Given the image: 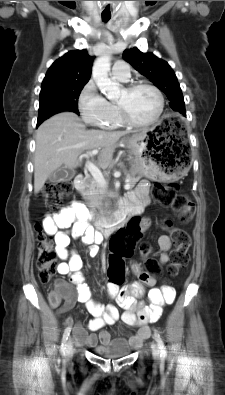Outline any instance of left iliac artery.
<instances>
[{"label":"left iliac artery","mask_w":225,"mask_h":395,"mask_svg":"<svg viewBox=\"0 0 225 395\" xmlns=\"http://www.w3.org/2000/svg\"><path fill=\"white\" fill-rule=\"evenodd\" d=\"M155 337H156L158 347L160 349V357L164 358L166 356V348H165L164 342L161 339L159 334L155 333Z\"/></svg>","instance_id":"1"}]
</instances>
